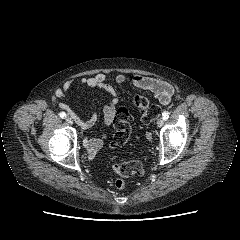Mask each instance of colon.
I'll return each instance as SVG.
<instances>
[{
    "label": "colon",
    "mask_w": 240,
    "mask_h": 240,
    "mask_svg": "<svg viewBox=\"0 0 240 240\" xmlns=\"http://www.w3.org/2000/svg\"><path fill=\"white\" fill-rule=\"evenodd\" d=\"M133 105L142 111V119L145 123H150L159 116L160 108L157 105H150L144 96L136 95L133 99ZM114 128L115 145H125L128 142L131 133L129 112L126 108L122 107L116 111ZM112 167L114 171L121 177L115 182V186L118 189L125 188V178L142 175L144 173L143 166L138 160H130L123 164L114 163Z\"/></svg>",
    "instance_id": "colon-1"
}]
</instances>
